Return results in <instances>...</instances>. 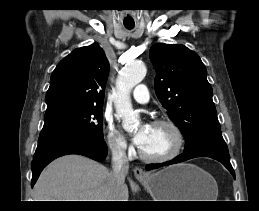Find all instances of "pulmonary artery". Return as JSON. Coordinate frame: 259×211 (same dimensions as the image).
Returning a JSON list of instances; mask_svg holds the SVG:
<instances>
[{
    "instance_id": "obj_1",
    "label": "pulmonary artery",
    "mask_w": 259,
    "mask_h": 211,
    "mask_svg": "<svg viewBox=\"0 0 259 211\" xmlns=\"http://www.w3.org/2000/svg\"><path fill=\"white\" fill-rule=\"evenodd\" d=\"M133 98L138 103L144 104L149 101L148 89L145 85L140 84L133 90Z\"/></svg>"
}]
</instances>
